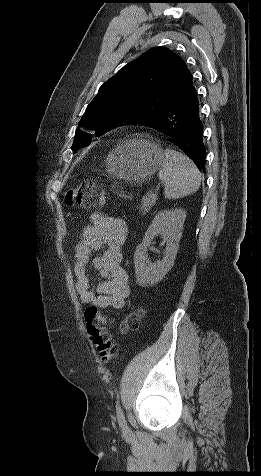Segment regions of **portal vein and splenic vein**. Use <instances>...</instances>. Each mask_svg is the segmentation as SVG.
<instances>
[{
    "label": "portal vein and splenic vein",
    "instance_id": "1",
    "mask_svg": "<svg viewBox=\"0 0 261 476\" xmlns=\"http://www.w3.org/2000/svg\"><path fill=\"white\" fill-rule=\"evenodd\" d=\"M153 198L156 199L157 193L152 194Z\"/></svg>",
    "mask_w": 261,
    "mask_h": 476
}]
</instances>
